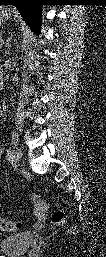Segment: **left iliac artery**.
Here are the masks:
<instances>
[{"mask_svg":"<svg viewBox=\"0 0 106 257\" xmlns=\"http://www.w3.org/2000/svg\"><path fill=\"white\" fill-rule=\"evenodd\" d=\"M13 159V150L11 148H9L7 150V160L11 161Z\"/></svg>","mask_w":106,"mask_h":257,"instance_id":"1","label":"left iliac artery"}]
</instances>
